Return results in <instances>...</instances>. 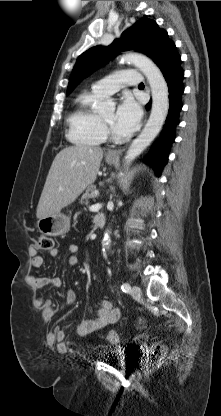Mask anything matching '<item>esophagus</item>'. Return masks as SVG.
I'll list each match as a JSON object with an SVG mask.
<instances>
[{
  "label": "esophagus",
  "mask_w": 221,
  "mask_h": 416,
  "mask_svg": "<svg viewBox=\"0 0 221 416\" xmlns=\"http://www.w3.org/2000/svg\"><path fill=\"white\" fill-rule=\"evenodd\" d=\"M122 150H111L107 153V157L109 158H119Z\"/></svg>",
  "instance_id": "34e87169"
}]
</instances>
